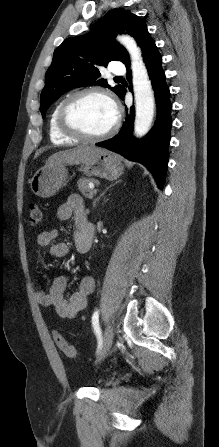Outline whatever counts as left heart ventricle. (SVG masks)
<instances>
[{
    "label": "left heart ventricle",
    "mask_w": 219,
    "mask_h": 447,
    "mask_svg": "<svg viewBox=\"0 0 219 447\" xmlns=\"http://www.w3.org/2000/svg\"><path fill=\"white\" fill-rule=\"evenodd\" d=\"M71 122L89 134H101L115 120L113 106L102 97L90 95L80 99L70 112Z\"/></svg>",
    "instance_id": "1"
}]
</instances>
